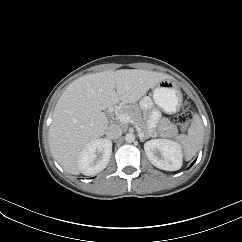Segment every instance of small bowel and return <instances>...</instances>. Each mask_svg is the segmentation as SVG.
<instances>
[{"label": "small bowel", "mask_w": 242, "mask_h": 242, "mask_svg": "<svg viewBox=\"0 0 242 242\" xmlns=\"http://www.w3.org/2000/svg\"><path fill=\"white\" fill-rule=\"evenodd\" d=\"M157 120H158V114H156V113L151 114V116H150L151 124H155L157 122Z\"/></svg>", "instance_id": "small-bowel-1"}]
</instances>
